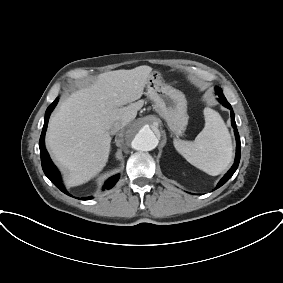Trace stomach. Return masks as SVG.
<instances>
[{"label":"stomach","mask_w":283,"mask_h":283,"mask_svg":"<svg viewBox=\"0 0 283 283\" xmlns=\"http://www.w3.org/2000/svg\"><path fill=\"white\" fill-rule=\"evenodd\" d=\"M147 95L154 102L155 109L165 119L170 130L175 134L182 133L188 123L185 95L166 84L159 72L150 74Z\"/></svg>","instance_id":"obj_1"}]
</instances>
